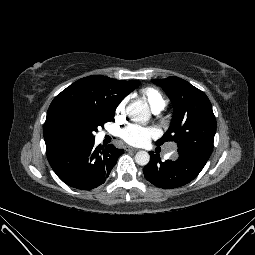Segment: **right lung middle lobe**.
I'll list each match as a JSON object with an SVG mask.
<instances>
[{
    "mask_svg": "<svg viewBox=\"0 0 255 255\" xmlns=\"http://www.w3.org/2000/svg\"><path fill=\"white\" fill-rule=\"evenodd\" d=\"M139 81H134V88L139 85ZM115 110L90 109L80 115L76 125L77 141H93V132L98 126L114 119Z\"/></svg>",
    "mask_w": 255,
    "mask_h": 255,
    "instance_id": "dd1d6c3e",
    "label": "right lung middle lobe"
}]
</instances>
